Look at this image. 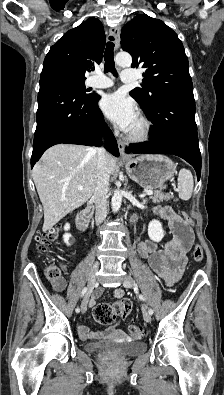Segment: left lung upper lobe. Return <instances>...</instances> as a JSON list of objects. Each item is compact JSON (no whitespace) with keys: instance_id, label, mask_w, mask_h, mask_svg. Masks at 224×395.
<instances>
[{"instance_id":"5c2ea615","label":"left lung upper lobe","mask_w":224,"mask_h":395,"mask_svg":"<svg viewBox=\"0 0 224 395\" xmlns=\"http://www.w3.org/2000/svg\"><path fill=\"white\" fill-rule=\"evenodd\" d=\"M121 47L132 55V67L145 69L142 88L130 92L145 113L168 100L194 98L183 44L164 22L137 15L122 28Z\"/></svg>"}]
</instances>
